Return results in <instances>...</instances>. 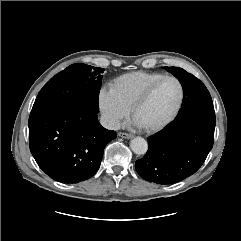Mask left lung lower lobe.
Segmentation results:
<instances>
[{
    "label": "left lung lower lobe",
    "mask_w": 241,
    "mask_h": 241,
    "mask_svg": "<svg viewBox=\"0 0 241 241\" xmlns=\"http://www.w3.org/2000/svg\"><path fill=\"white\" fill-rule=\"evenodd\" d=\"M215 124L213 106L178 115L162 132L148 139V151L136 161V171L157 184L176 183L191 176L212 149Z\"/></svg>",
    "instance_id": "0a47b994"
}]
</instances>
